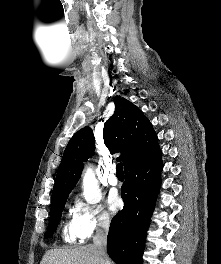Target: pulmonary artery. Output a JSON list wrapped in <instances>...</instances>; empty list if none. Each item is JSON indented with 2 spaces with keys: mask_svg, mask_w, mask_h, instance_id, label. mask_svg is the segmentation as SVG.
<instances>
[{
  "mask_svg": "<svg viewBox=\"0 0 221 264\" xmlns=\"http://www.w3.org/2000/svg\"><path fill=\"white\" fill-rule=\"evenodd\" d=\"M108 182L110 185H117L119 180H118V177L116 175V170H115V167H111L110 169V174L108 176Z\"/></svg>",
  "mask_w": 221,
  "mask_h": 264,
  "instance_id": "obj_1",
  "label": "pulmonary artery"
}]
</instances>
